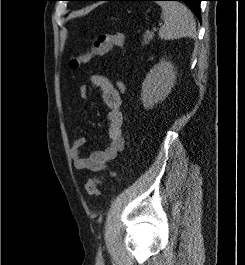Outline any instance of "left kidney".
Masks as SVG:
<instances>
[{"instance_id":"1","label":"left kidney","mask_w":245,"mask_h":265,"mask_svg":"<svg viewBox=\"0 0 245 265\" xmlns=\"http://www.w3.org/2000/svg\"><path fill=\"white\" fill-rule=\"evenodd\" d=\"M176 79L174 65L161 59L146 75L142 83L141 100L145 109H151L170 93Z\"/></svg>"}]
</instances>
